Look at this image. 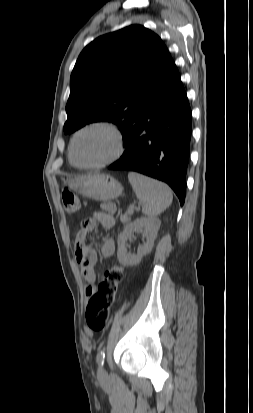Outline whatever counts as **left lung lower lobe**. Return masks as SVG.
I'll use <instances>...</instances> for the list:
<instances>
[{
  "label": "left lung lower lobe",
  "mask_w": 253,
  "mask_h": 413,
  "mask_svg": "<svg viewBox=\"0 0 253 413\" xmlns=\"http://www.w3.org/2000/svg\"><path fill=\"white\" fill-rule=\"evenodd\" d=\"M191 131V108L172 60L128 128L123 155L109 169L136 171L164 181L183 205Z\"/></svg>",
  "instance_id": "1"
}]
</instances>
